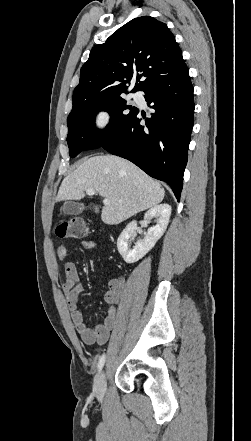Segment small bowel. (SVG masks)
<instances>
[{
	"label": "small bowel",
	"instance_id": "c3829d8e",
	"mask_svg": "<svg viewBox=\"0 0 251 441\" xmlns=\"http://www.w3.org/2000/svg\"><path fill=\"white\" fill-rule=\"evenodd\" d=\"M82 245L85 250H93L96 247V243L92 240L83 241ZM57 255L60 260L65 261V280L62 284V291L76 332L87 345L105 344L116 325L117 305L124 290V280L122 278H113L108 281L103 295L106 313L104 316H101V323L94 327H88L82 312L78 309V300L83 291V285L77 266L73 262L66 261L68 248L65 245L58 247Z\"/></svg>",
	"mask_w": 251,
	"mask_h": 441
}]
</instances>
